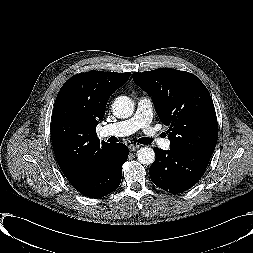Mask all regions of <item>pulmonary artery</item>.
<instances>
[{
  "label": "pulmonary artery",
  "mask_w": 253,
  "mask_h": 253,
  "mask_svg": "<svg viewBox=\"0 0 253 253\" xmlns=\"http://www.w3.org/2000/svg\"><path fill=\"white\" fill-rule=\"evenodd\" d=\"M137 130H142L145 137L160 148L170 149L171 139L162 138L152 125V100L148 96L138 99L136 111L131 118L104 127L101 135L104 137L111 135L127 136Z\"/></svg>",
  "instance_id": "obj_1"
}]
</instances>
